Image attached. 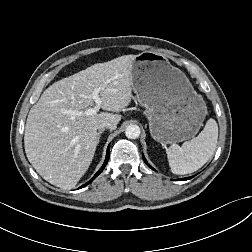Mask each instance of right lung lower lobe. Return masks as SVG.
Segmentation results:
<instances>
[{
	"instance_id": "1",
	"label": "right lung lower lobe",
	"mask_w": 252,
	"mask_h": 252,
	"mask_svg": "<svg viewBox=\"0 0 252 252\" xmlns=\"http://www.w3.org/2000/svg\"><path fill=\"white\" fill-rule=\"evenodd\" d=\"M108 160H109V146L107 148L106 159H105V162L102 165V167L99 169V171L94 175V177L90 181H88L86 184L82 185L80 188H82V187L88 185L89 183H91L103 171V169L105 168Z\"/></svg>"
}]
</instances>
